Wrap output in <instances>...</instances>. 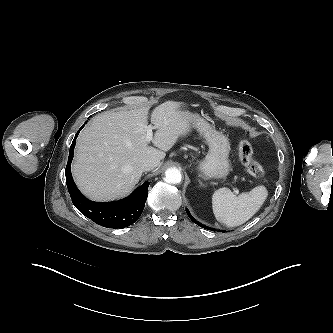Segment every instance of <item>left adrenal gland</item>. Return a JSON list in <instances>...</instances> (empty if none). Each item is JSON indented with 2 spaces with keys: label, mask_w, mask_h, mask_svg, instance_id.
Instances as JSON below:
<instances>
[{
  "label": "left adrenal gland",
  "mask_w": 333,
  "mask_h": 333,
  "mask_svg": "<svg viewBox=\"0 0 333 333\" xmlns=\"http://www.w3.org/2000/svg\"><path fill=\"white\" fill-rule=\"evenodd\" d=\"M198 181H199L200 187H204L205 186L200 180H198Z\"/></svg>",
  "instance_id": "a2214340"
}]
</instances>
